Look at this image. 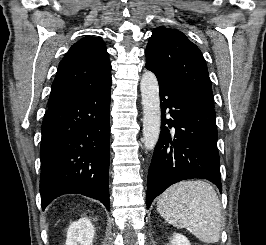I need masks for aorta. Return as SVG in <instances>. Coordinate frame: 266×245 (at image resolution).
I'll return each mask as SVG.
<instances>
[{"label":"aorta","mask_w":266,"mask_h":245,"mask_svg":"<svg viewBox=\"0 0 266 245\" xmlns=\"http://www.w3.org/2000/svg\"><path fill=\"white\" fill-rule=\"evenodd\" d=\"M143 104V141L147 151L156 147L160 135L161 108L158 80L151 70H145L140 80Z\"/></svg>","instance_id":"aorta-1"}]
</instances>
